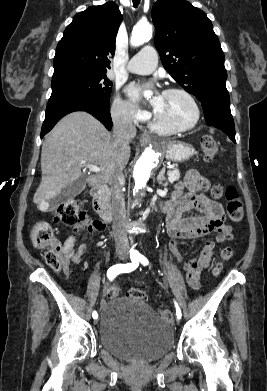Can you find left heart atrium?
<instances>
[{"mask_svg": "<svg viewBox=\"0 0 267 391\" xmlns=\"http://www.w3.org/2000/svg\"><path fill=\"white\" fill-rule=\"evenodd\" d=\"M148 86H150V85L131 84V85L128 87V94H129V96H130L133 100L139 101L140 98H141L143 89H144L145 87H148ZM159 96H160V94L156 93L155 98H158Z\"/></svg>", "mask_w": 267, "mask_h": 391, "instance_id": "39dd6f15", "label": "left heart atrium"}]
</instances>
